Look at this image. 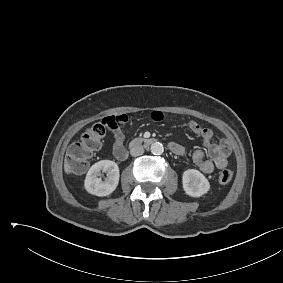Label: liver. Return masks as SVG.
<instances>
[{"label": "liver", "instance_id": "obj_1", "mask_svg": "<svg viewBox=\"0 0 283 283\" xmlns=\"http://www.w3.org/2000/svg\"><path fill=\"white\" fill-rule=\"evenodd\" d=\"M64 170H65V172H66L67 174L70 173V166H69V164H68L67 159H65Z\"/></svg>", "mask_w": 283, "mask_h": 283}]
</instances>
